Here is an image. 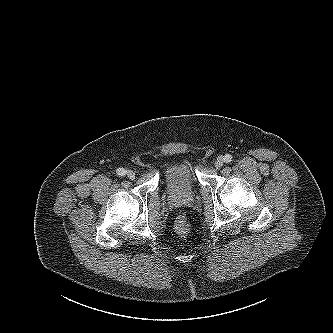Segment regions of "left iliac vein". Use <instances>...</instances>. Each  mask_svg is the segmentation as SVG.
<instances>
[{
  "instance_id": "left-iliac-vein-1",
  "label": "left iliac vein",
  "mask_w": 333,
  "mask_h": 333,
  "mask_svg": "<svg viewBox=\"0 0 333 333\" xmlns=\"http://www.w3.org/2000/svg\"><path fill=\"white\" fill-rule=\"evenodd\" d=\"M224 162V157L220 156L217 158L215 165L217 168H221L224 165Z\"/></svg>"
}]
</instances>
